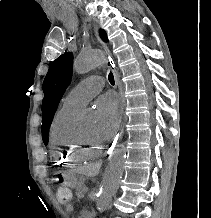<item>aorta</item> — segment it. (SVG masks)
<instances>
[{
    "mask_svg": "<svg viewBox=\"0 0 211 218\" xmlns=\"http://www.w3.org/2000/svg\"><path fill=\"white\" fill-rule=\"evenodd\" d=\"M104 61V54L100 50H90L81 53L74 60V69L78 74H85L98 67ZM95 116L91 112H86L81 116V126L85 129L91 128L95 124ZM126 158V147L120 144L109 157V164L104 173L100 193L96 199V209L104 211L111 202L112 197L117 192L122 178Z\"/></svg>",
    "mask_w": 211,
    "mask_h": 218,
    "instance_id": "obj_1",
    "label": "aorta"
}]
</instances>
